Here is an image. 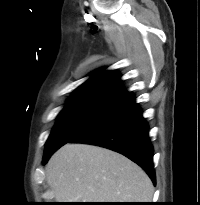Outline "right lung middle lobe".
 I'll return each mask as SVG.
<instances>
[{
	"label": "right lung middle lobe",
	"mask_w": 200,
	"mask_h": 205,
	"mask_svg": "<svg viewBox=\"0 0 200 205\" xmlns=\"http://www.w3.org/2000/svg\"><path fill=\"white\" fill-rule=\"evenodd\" d=\"M115 102L102 100H70L58 115L45 147V157L104 114Z\"/></svg>",
	"instance_id": "right-lung-middle-lobe-1"
}]
</instances>
